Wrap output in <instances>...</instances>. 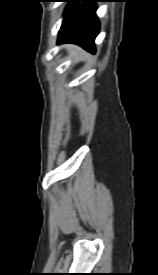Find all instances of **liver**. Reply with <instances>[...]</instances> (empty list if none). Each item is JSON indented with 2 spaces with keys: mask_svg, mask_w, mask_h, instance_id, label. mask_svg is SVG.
<instances>
[{
  "mask_svg": "<svg viewBox=\"0 0 158 275\" xmlns=\"http://www.w3.org/2000/svg\"><path fill=\"white\" fill-rule=\"evenodd\" d=\"M71 52H72V53H73V54H74L77 58H79V57H80V55H81L79 52H77V51H76V49H75V48H74V49H72V50H71Z\"/></svg>",
  "mask_w": 158,
  "mask_h": 275,
  "instance_id": "1",
  "label": "liver"
}]
</instances>
